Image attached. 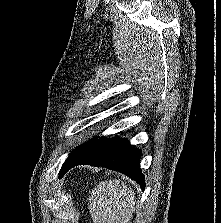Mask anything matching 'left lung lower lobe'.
I'll list each match as a JSON object with an SVG mask.
<instances>
[{"mask_svg": "<svg viewBox=\"0 0 221 223\" xmlns=\"http://www.w3.org/2000/svg\"><path fill=\"white\" fill-rule=\"evenodd\" d=\"M141 150L131 146L128 141L104 137L96 139L86 150L69 163L66 172L77 165L101 166L119 171L145 188L144 177L140 169Z\"/></svg>", "mask_w": 221, "mask_h": 223, "instance_id": "1", "label": "left lung lower lobe"}]
</instances>
